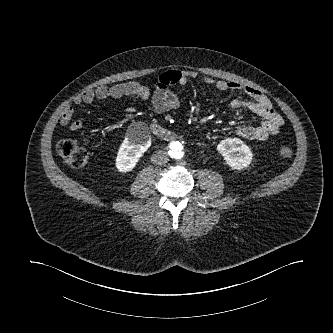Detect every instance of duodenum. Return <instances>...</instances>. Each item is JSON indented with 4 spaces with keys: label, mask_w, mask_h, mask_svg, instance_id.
<instances>
[{
    "label": "duodenum",
    "mask_w": 333,
    "mask_h": 333,
    "mask_svg": "<svg viewBox=\"0 0 333 333\" xmlns=\"http://www.w3.org/2000/svg\"><path fill=\"white\" fill-rule=\"evenodd\" d=\"M151 130L158 138L165 141H172L177 138V135L174 132L159 124H152Z\"/></svg>",
    "instance_id": "obj_1"
}]
</instances>
